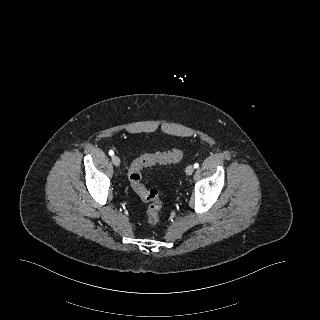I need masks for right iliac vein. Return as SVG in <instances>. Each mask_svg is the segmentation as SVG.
Returning a JSON list of instances; mask_svg holds the SVG:
<instances>
[{
	"instance_id": "63e3f726",
	"label": "right iliac vein",
	"mask_w": 320,
	"mask_h": 320,
	"mask_svg": "<svg viewBox=\"0 0 320 320\" xmlns=\"http://www.w3.org/2000/svg\"><path fill=\"white\" fill-rule=\"evenodd\" d=\"M111 160L114 166L118 167L120 165V159L116 155L112 156Z\"/></svg>"
}]
</instances>
